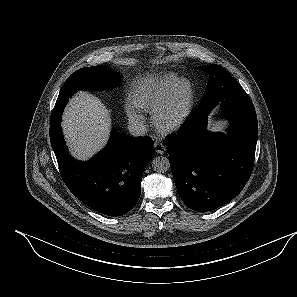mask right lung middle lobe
<instances>
[{
    "mask_svg": "<svg viewBox=\"0 0 297 297\" xmlns=\"http://www.w3.org/2000/svg\"><path fill=\"white\" fill-rule=\"evenodd\" d=\"M121 76L103 66L85 67L74 72L61 88L55 107L52 112V123L55 122L59 112L68 102L70 96L78 90H103L109 86L117 87Z\"/></svg>",
    "mask_w": 297,
    "mask_h": 297,
    "instance_id": "1",
    "label": "right lung middle lobe"
}]
</instances>
